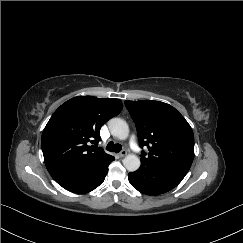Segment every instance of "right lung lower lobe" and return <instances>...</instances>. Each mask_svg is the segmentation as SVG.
Here are the masks:
<instances>
[{
  "instance_id": "98d812e1",
  "label": "right lung lower lobe",
  "mask_w": 243,
  "mask_h": 243,
  "mask_svg": "<svg viewBox=\"0 0 243 243\" xmlns=\"http://www.w3.org/2000/svg\"><path fill=\"white\" fill-rule=\"evenodd\" d=\"M113 156H106L88 168L55 179L64 189L74 193H88L102 184L108 172L109 164L114 160Z\"/></svg>"
}]
</instances>
